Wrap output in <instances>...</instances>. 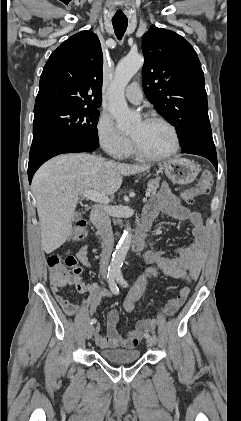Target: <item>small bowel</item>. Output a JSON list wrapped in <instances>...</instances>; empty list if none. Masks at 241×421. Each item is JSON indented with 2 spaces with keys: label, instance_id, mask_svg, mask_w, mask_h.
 I'll use <instances>...</instances> for the list:
<instances>
[{
  "label": "small bowel",
  "instance_id": "small-bowel-1",
  "mask_svg": "<svg viewBox=\"0 0 241 421\" xmlns=\"http://www.w3.org/2000/svg\"><path fill=\"white\" fill-rule=\"evenodd\" d=\"M160 214H166L172 218L189 221L192 225L193 241L186 246L179 248L174 256H168L163 251L148 250L144 252L142 259L146 264H156L164 274L169 277L190 284L196 280L204 264L208 232L203 223L200 213L185 207L180 199L165 185L151 199L145 208V216L156 218ZM76 259L85 267L92 268L88 258V247L82 246L76 253ZM73 284L77 291L86 293L88 299V311L93 314L100 302L110 296V291L101 288L97 284L85 283L82 274L72 281L63 284H52V291L55 299L63 311L70 316H75L82 311L78 304H74L59 294V289L65 285ZM190 289L183 287L178 295L171 299L164 308L166 316L174 315L186 302ZM119 313L117 309H111L106 316V334H101V325L98 323L95 330L96 344L102 349L125 348L133 349L139 345L143 336L152 330L156 320L144 318L136 323L135 329L128 331L125 336L119 334L117 323Z\"/></svg>",
  "mask_w": 241,
  "mask_h": 421
}]
</instances>
